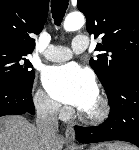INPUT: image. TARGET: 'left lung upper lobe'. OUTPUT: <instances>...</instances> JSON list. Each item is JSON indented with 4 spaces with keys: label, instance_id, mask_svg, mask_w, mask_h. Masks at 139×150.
<instances>
[{
    "label": "left lung upper lobe",
    "instance_id": "left-lung-upper-lobe-1",
    "mask_svg": "<svg viewBox=\"0 0 139 150\" xmlns=\"http://www.w3.org/2000/svg\"><path fill=\"white\" fill-rule=\"evenodd\" d=\"M77 5L87 31L102 39L96 50L105 53L90 65L108 96L122 74L139 64V0H78Z\"/></svg>",
    "mask_w": 139,
    "mask_h": 150
}]
</instances>
